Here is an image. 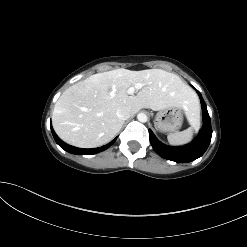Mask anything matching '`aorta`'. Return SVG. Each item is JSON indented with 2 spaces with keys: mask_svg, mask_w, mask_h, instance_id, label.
Wrapping results in <instances>:
<instances>
[{
  "mask_svg": "<svg viewBox=\"0 0 247 247\" xmlns=\"http://www.w3.org/2000/svg\"><path fill=\"white\" fill-rule=\"evenodd\" d=\"M137 119H138V121L145 123V122H147L148 117L145 113L141 112L137 115Z\"/></svg>",
  "mask_w": 247,
  "mask_h": 247,
  "instance_id": "obj_1",
  "label": "aorta"
}]
</instances>
